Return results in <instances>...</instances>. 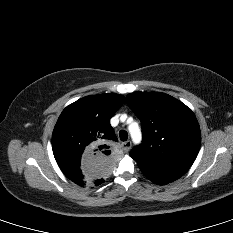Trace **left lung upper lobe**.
<instances>
[{
    "mask_svg": "<svg viewBox=\"0 0 233 233\" xmlns=\"http://www.w3.org/2000/svg\"><path fill=\"white\" fill-rule=\"evenodd\" d=\"M126 101L141 120L143 141L130 156L140 165L187 171L201 143L198 121L190 108L161 92H133Z\"/></svg>",
    "mask_w": 233,
    "mask_h": 233,
    "instance_id": "left-lung-upper-lobe-1",
    "label": "left lung upper lobe"
}]
</instances>
